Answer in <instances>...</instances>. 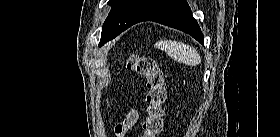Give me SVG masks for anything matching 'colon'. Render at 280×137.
I'll use <instances>...</instances> for the list:
<instances>
[{"mask_svg": "<svg viewBox=\"0 0 280 137\" xmlns=\"http://www.w3.org/2000/svg\"><path fill=\"white\" fill-rule=\"evenodd\" d=\"M128 70L142 76L147 82V117L144 121V137H157L162 129L163 105L166 100L164 75L151 57L132 54L126 60ZM129 126L118 123L114 128L116 137H124Z\"/></svg>", "mask_w": 280, "mask_h": 137, "instance_id": "obj_1", "label": "colon"}]
</instances>
